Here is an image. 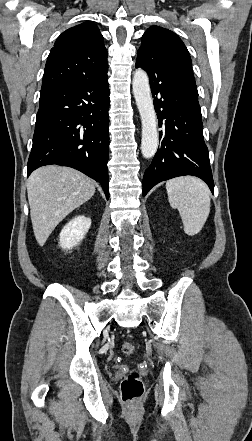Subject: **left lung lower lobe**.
Segmentation results:
<instances>
[{
	"mask_svg": "<svg viewBox=\"0 0 252 441\" xmlns=\"http://www.w3.org/2000/svg\"><path fill=\"white\" fill-rule=\"evenodd\" d=\"M138 67L149 75L159 127H164L161 145L145 170L143 196L157 183L184 175L201 178L214 193L192 67L180 59L162 56L152 61L140 59L136 61Z\"/></svg>",
	"mask_w": 252,
	"mask_h": 441,
	"instance_id": "left-lung-lower-lobe-1",
	"label": "left lung lower lobe"
}]
</instances>
